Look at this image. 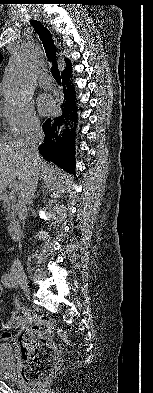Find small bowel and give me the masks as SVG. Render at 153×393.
Returning a JSON list of instances; mask_svg holds the SVG:
<instances>
[{
  "instance_id": "obj_1",
  "label": "small bowel",
  "mask_w": 153,
  "mask_h": 393,
  "mask_svg": "<svg viewBox=\"0 0 153 393\" xmlns=\"http://www.w3.org/2000/svg\"><path fill=\"white\" fill-rule=\"evenodd\" d=\"M2 293H3V288L0 285V297L2 296ZM14 306H15V310L12 311V315L16 314L21 309V301L19 298L14 299ZM10 336H11L10 332L6 331L3 333L2 338L9 339Z\"/></svg>"
}]
</instances>
